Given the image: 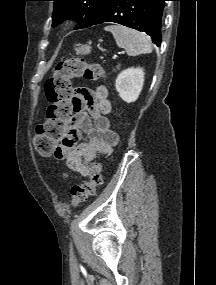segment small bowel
<instances>
[{
  "mask_svg": "<svg viewBox=\"0 0 216 285\" xmlns=\"http://www.w3.org/2000/svg\"><path fill=\"white\" fill-rule=\"evenodd\" d=\"M75 103L74 114L55 155L64 159L78 175L87 177L90 174L87 163L92 162L97 153H111L118 136L108 118L112 105L105 87L77 89ZM64 177L70 178V175L65 173Z\"/></svg>",
  "mask_w": 216,
  "mask_h": 285,
  "instance_id": "1",
  "label": "small bowel"
}]
</instances>
